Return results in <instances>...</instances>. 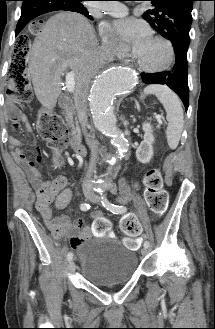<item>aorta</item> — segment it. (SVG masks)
<instances>
[{
  "label": "aorta",
  "mask_w": 215,
  "mask_h": 329,
  "mask_svg": "<svg viewBox=\"0 0 215 329\" xmlns=\"http://www.w3.org/2000/svg\"><path fill=\"white\" fill-rule=\"evenodd\" d=\"M136 82L137 77L132 69L111 66L99 74L89 91V105L94 125L111 138L120 156L127 151L128 141L117 127L113 104L118 93L131 90Z\"/></svg>",
  "instance_id": "aorta-1"
}]
</instances>
